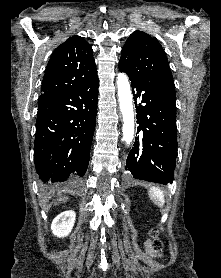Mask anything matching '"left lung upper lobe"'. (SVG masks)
Instances as JSON below:
<instances>
[{
	"label": "left lung upper lobe",
	"instance_id": "left-lung-upper-lobe-1",
	"mask_svg": "<svg viewBox=\"0 0 221 278\" xmlns=\"http://www.w3.org/2000/svg\"><path fill=\"white\" fill-rule=\"evenodd\" d=\"M119 68L128 76L160 83L175 91L172 73L162 46L142 31H135L125 42Z\"/></svg>",
	"mask_w": 221,
	"mask_h": 278
}]
</instances>
